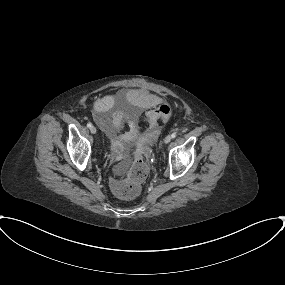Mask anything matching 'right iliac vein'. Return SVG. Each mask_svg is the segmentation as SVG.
Instances as JSON below:
<instances>
[{
    "label": "right iliac vein",
    "instance_id": "obj_1",
    "mask_svg": "<svg viewBox=\"0 0 285 285\" xmlns=\"http://www.w3.org/2000/svg\"><path fill=\"white\" fill-rule=\"evenodd\" d=\"M91 133L96 134L97 130L96 127L94 125L91 126L90 128Z\"/></svg>",
    "mask_w": 285,
    "mask_h": 285
}]
</instances>
